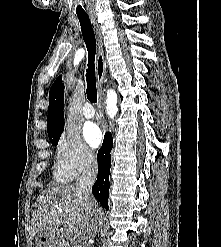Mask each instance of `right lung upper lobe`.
Wrapping results in <instances>:
<instances>
[{
    "mask_svg": "<svg viewBox=\"0 0 221 247\" xmlns=\"http://www.w3.org/2000/svg\"><path fill=\"white\" fill-rule=\"evenodd\" d=\"M64 85L59 76L49 92V107L47 116V132L49 138H54L61 135L64 129Z\"/></svg>",
    "mask_w": 221,
    "mask_h": 247,
    "instance_id": "obj_1",
    "label": "right lung upper lobe"
}]
</instances>
